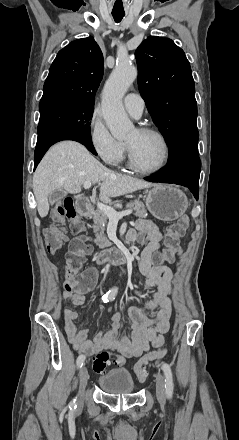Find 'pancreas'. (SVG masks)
I'll list each match as a JSON object with an SVG mask.
<instances>
[{"label":"pancreas","mask_w":239,"mask_h":440,"mask_svg":"<svg viewBox=\"0 0 239 440\" xmlns=\"http://www.w3.org/2000/svg\"><path fill=\"white\" fill-rule=\"evenodd\" d=\"M114 208H117L116 204H114ZM126 208H128V210H135L134 216H137V218H147V210L143 202H139V200L128 202ZM92 220L94 222L92 228L96 238V240H94L96 246H99V248H107V246H111L110 240H108L104 234L106 224L109 222L108 216L97 208L92 214Z\"/></svg>","instance_id":"cf45deb5"}]
</instances>
